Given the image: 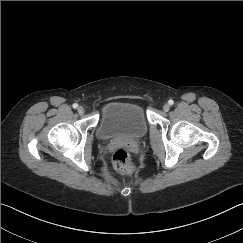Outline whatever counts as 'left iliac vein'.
Instances as JSON below:
<instances>
[{
    "label": "left iliac vein",
    "mask_w": 243,
    "mask_h": 243,
    "mask_svg": "<svg viewBox=\"0 0 243 243\" xmlns=\"http://www.w3.org/2000/svg\"><path fill=\"white\" fill-rule=\"evenodd\" d=\"M169 109H170L169 104H164V106H163V110H164L165 112H167V111H169Z\"/></svg>",
    "instance_id": "obj_1"
}]
</instances>
